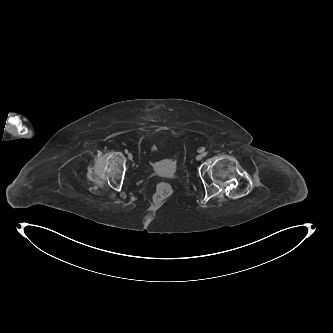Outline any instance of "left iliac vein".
<instances>
[{
  "mask_svg": "<svg viewBox=\"0 0 333 333\" xmlns=\"http://www.w3.org/2000/svg\"><path fill=\"white\" fill-rule=\"evenodd\" d=\"M202 158H203L202 154H199V155L196 156V160H198V161L201 160Z\"/></svg>",
  "mask_w": 333,
  "mask_h": 333,
  "instance_id": "left-iliac-vein-1",
  "label": "left iliac vein"
}]
</instances>
